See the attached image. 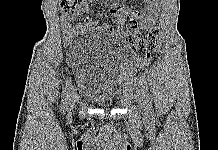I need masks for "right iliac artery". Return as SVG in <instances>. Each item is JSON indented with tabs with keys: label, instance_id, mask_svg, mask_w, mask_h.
Segmentation results:
<instances>
[{
	"label": "right iliac artery",
	"instance_id": "obj_1",
	"mask_svg": "<svg viewBox=\"0 0 218 150\" xmlns=\"http://www.w3.org/2000/svg\"><path fill=\"white\" fill-rule=\"evenodd\" d=\"M71 90H72V82H71V79H69L67 81V83H66V86H65L64 90H63V99H62V109H63V111L67 107Z\"/></svg>",
	"mask_w": 218,
	"mask_h": 150
}]
</instances>
